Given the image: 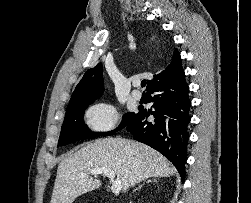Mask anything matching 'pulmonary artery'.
<instances>
[{
  "mask_svg": "<svg viewBox=\"0 0 251 203\" xmlns=\"http://www.w3.org/2000/svg\"><path fill=\"white\" fill-rule=\"evenodd\" d=\"M132 97L135 99V100H140L142 98V94L139 90H133L132 91Z\"/></svg>",
  "mask_w": 251,
  "mask_h": 203,
  "instance_id": "1",
  "label": "pulmonary artery"
}]
</instances>
